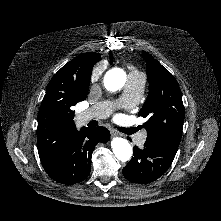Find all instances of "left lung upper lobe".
Here are the masks:
<instances>
[{"label":"left lung upper lobe","mask_w":221,"mask_h":221,"mask_svg":"<svg viewBox=\"0 0 221 221\" xmlns=\"http://www.w3.org/2000/svg\"><path fill=\"white\" fill-rule=\"evenodd\" d=\"M143 58L149 93L138 115L148 119L144 124L146 141L179 144L185 118L180 87L174 76L152 55L144 51Z\"/></svg>","instance_id":"1"}]
</instances>
